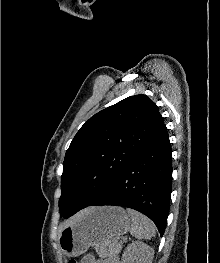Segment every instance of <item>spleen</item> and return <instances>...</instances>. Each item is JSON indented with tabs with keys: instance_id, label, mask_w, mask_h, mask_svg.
<instances>
[{
	"instance_id": "obj_1",
	"label": "spleen",
	"mask_w": 220,
	"mask_h": 263,
	"mask_svg": "<svg viewBox=\"0 0 220 263\" xmlns=\"http://www.w3.org/2000/svg\"><path fill=\"white\" fill-rule=\"evenodd\" d=\"M127 212L132 222L130 228V234L132 236L145 240H150L155 236L156 228L149 218L130 208L127 209Z\"/></svg>"
}]
</instances>
